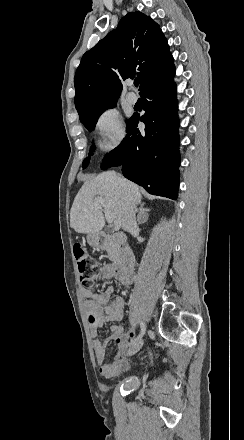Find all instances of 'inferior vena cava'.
<instances>
[{"label": "inferior vena cava", "mask_w": 244, "mask_h": 440, "mask_svg": "<svg viewBox=\"0 0 244 440\" xmlns=\"http://www.w3.org/2000/svg\"><path fill=\"white\" fill-rule=\"evenodd\" d=\"M123 212L122 228L126 232H131V230H138L136 218H135V208L133 202H127Z\"/></svg>", "instance_id": "602c4592"}]
</instances>
